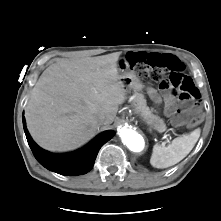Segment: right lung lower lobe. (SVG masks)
I'll return each instance as SVG.
<instances>
[{
  "label": "right lung lower lobe",
  "instance_id": "right-lung-lower-lobe-1",
  "mask_svg": "<svg viewBox=\"0 0 221 221\" xmlns=\"http://www.w3.org/2000/svg\"><path fill=\"white\" fill-rule=\"evenodd\" d=\"M23 126L28 144L38 162L50 171L69 176H77L90 171L99 149L114 135L111 130L102 132L83 148L72 153L58 155L43 150L32 140L26 128L24 116Z\"/></svg>",
  "mask_w": 221,
  "mask_h": 221
}]
</instances>
